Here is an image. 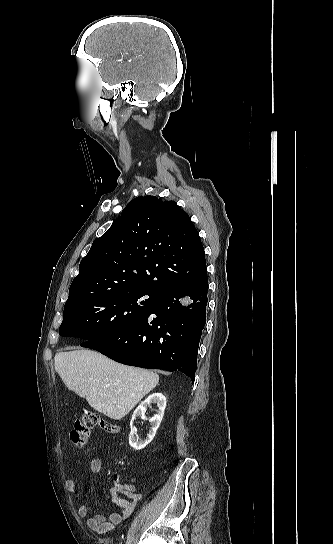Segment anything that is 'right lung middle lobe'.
<instances>
[{"mask_svg":"<svg viewBox=\"0 0 333 544\" xmlns=\"http://www.w3.org/2000/svg\"><path fill=\"white\" fill-rule=\"evenodd\" d=\"M156 298V294L132 290L107 291L72 300L64 306L59 335L88 342L118 333L148 312Z\"/></svg>","mask_w":333,"mask_h":544,"instance_id":"obj_1","label":"right lung middle lobe"}]
</instances>
